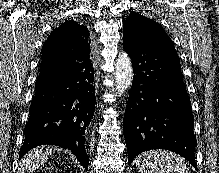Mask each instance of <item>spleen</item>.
<instances>
[{
  "label": "spleen",
  "instance_id": "obj_1",
  "mask_svg": "<svg viewBox=\"0 0 219 173\" xmlns=\"http://www.w3.org/2000/svg\"><path fill=\"white\" fill-rule=\"evenodd\" d=\"M135 163L140 173H191L183 159L169 151L145 152L135 159Z\"/></svg>",
  "mask_w": 219,
  "mask_h": 173
}]
</instances>
